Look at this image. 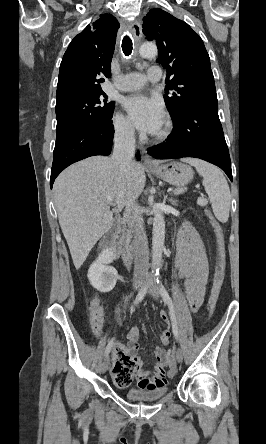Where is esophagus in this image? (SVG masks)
Returning a JSON list of instances; mask_svg holds the SVG:
<instances>
[{
  "label": "esophagus",
  "mask_w": 266,
  "mask_h": 444,
  "mask_svg": "<svg viewBox=\"0 0 266 444\" xmlns=\"http://www.w3.org/2000/svg\"><path fill=\"white\" fill-rule=\"evenodd\" d=\"M130 29H131L132 34L135 39H137V40L141 39L142 29H141V24L139 21H134L131 24ZM143 162L146 167H157L158 166V163L147 154H145V156L143 158Z\"/></svg>",
  "instance_id": "esophagus-1"
}]
</instances>
